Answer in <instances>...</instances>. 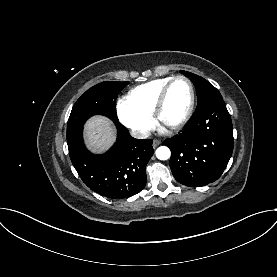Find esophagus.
<instances>
[{"mask_svg":"<svg viewBox=\"0 0 277 277\" xmlns=\"http://www.w3.org/2000/svg\"><path fill=\"white\" fill-rule=\"evenodd\" d=\"M161 144V141L160 140H158V139H155V140H153V148H156L157 146H159Z\"/></svg>","mask_w":277,"mask_h":277,"instance_id":"1","label":"esophagus"}]
</instances>
